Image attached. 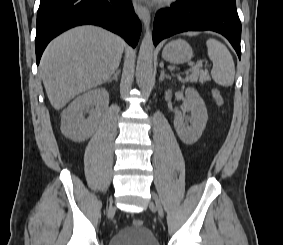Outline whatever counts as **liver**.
Instances as JSON below:
<instances>
[{"label":"liver","mask_w":283,"mask_h":245,"mask_svg":"<svg viewBox=\"0 0 283 245\" xmlns=\"http://www.w3.org/2000/svg\"><path fill=\"white\" fill-rule=\"evenodd\" d=\"M125 48L120 37L96 26L76 27L54 39L40 62L54 109H62L75 96L108 81Z\"/></svg>","instance_id":"liver-1"}]
</instances>
